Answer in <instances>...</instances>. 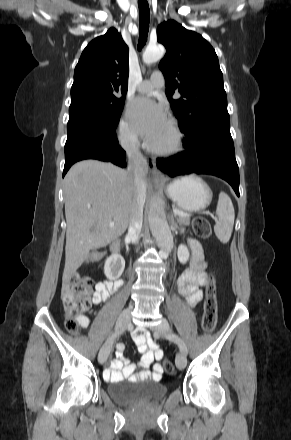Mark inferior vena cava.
<instances>
[{
    "label": "inferior vena cava",
    "instance_id": "obj_1",
    "mask_svg": "<svg viewBox=\"0 0 291 440\" xmlns=\"http://www.w3.org/2000/svg\"><path fill=\"white\" fill-rule=\"evenodd\" d=\"M128 171L133 174L135 192L131 208L128 235L133 242H138L143 222V207L146 198V176L148 164L146 158L139 151L138 145L134 144L128 151Z\"/></svg>",
    "mask_w": 291,
    "mask_h": 440
}]
</instances>
